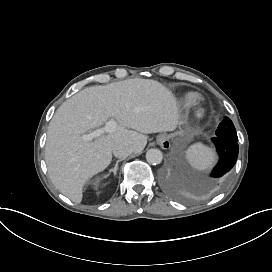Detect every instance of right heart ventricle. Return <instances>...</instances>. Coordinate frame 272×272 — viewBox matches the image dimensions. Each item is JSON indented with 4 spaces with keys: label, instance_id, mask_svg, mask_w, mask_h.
<instances>
[{
    "label": "right heart ventricle",
    "instance_id": "obj_1",
    "mask_svg": "<svg viewBox=\"0 0 272 272\" xmlns=\"http://www.w3.org/2000/svg\"><path fill=\"white\" fill-rule=\"evenodd\" d=\"M197 94L193 91H186L181 95V101L187 103L188 101L196 98Z\"/></svg>",
    "mask_w": 272,
    "mask_h": 272
}]
</instances>
